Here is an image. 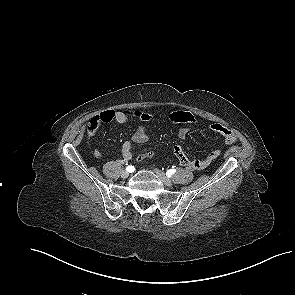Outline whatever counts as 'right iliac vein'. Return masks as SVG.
<instances>
[{
	"mask_svg": "<svg viewBox=\"0 0 295 295\" xmlns=\"http://www.w3.org/2000/svg\"><path fill=\"white\" fill-rule=\"evenodd\" d=\"M128 176H129V173H128L127 171H122V173H121V177H122L123 179H126Z\"/></svg>",
	"mask_w": 295,
	"mask_h": 295,
	"instance_id": "obj_1",
	"label": "right iliac vein"
}]
</instances>
